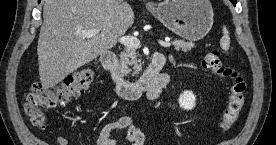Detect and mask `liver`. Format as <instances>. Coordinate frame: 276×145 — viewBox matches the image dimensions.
I'll return each instance as SVG.
<instances>
[{"label": "liver", "mask_w": 276, "mask_h": 145, "mask_svg": "<svg viewBox=\"0 0 276 145\" xmlns=\"http://www.w3.org/2000/svg\"><path fill=\"white\" fill-rule=\"evenodd\" d=\"M134 23L122 0H45L38 39L39 76L45 89L112 48ZM97 29L91 38L78 31Z\"/></svg>", "instance_id": "liver-1"}]
</instances>
